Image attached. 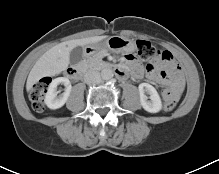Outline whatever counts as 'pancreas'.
<instances>
[{"mask_svg":"<svg viewBox=\"0 0 219 174\" xmlns=\"http://www.w3.org/2000/svg\"><path fill=\"white\" fill-rule=\"evenodd\" d=\"M105 55L106 52H99L95 54L84 62V67L88 69H101L105 65V62L102 60Z\"/></svg>","mask_w":219,"mask_h":174,"instance_id":"1","label":"pancreas"}]
</instances>
